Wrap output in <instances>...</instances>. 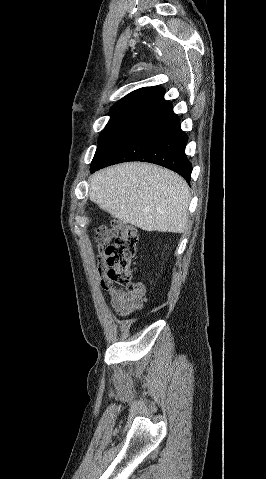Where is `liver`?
Listing matches in <instances>:
<instances>
[{"mask_svg": "<svg viewBox=\"0 0 266 479\" xmlns=\"http://www.w3.org/2000/svg\"><path fill=\"white\" fill-rule=\"evenodd\" d=\"M89 198L118 220L145 231L182 233L187 229V183L153 164L123 163L93 174Z\"/></svg>", "mask_w": 266, "mask_h": 479, "instance_id": "obj_1", "label": "liver"}]
</instances>
